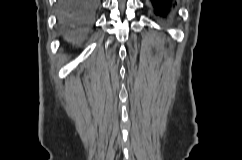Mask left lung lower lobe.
<instances>
[{
	"label": "left lung lower lobe",
	"mask_w": 242,
	"mask_h": 160,
	"mask_svg": "<svg viewBox=\"0 0 242 160\" xmlns=\"http://www.w3.org/2000/svg\"><path fill=\"white\" fill-rule=\"evenodd\" d=\"M156 15L167 16L173 8V0H150Z\"/></svg>",
	"instance_id": "1"
}]
</instances>
